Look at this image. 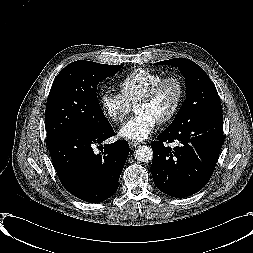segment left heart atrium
<instances>
[{"instance_id": "obj_1", "label": "left heart atrium", "mask_w": 253, "mask_h": 253, "mask_svg": "<svg viewBox=\"0 0 253 253\" xmlns=\"http://www.w3.org/2000/svg\"><path fill=\"white\" fill-rule=\"evenodd\" d=\"M157 123L147 114H137L120 128L118 134L127 140L142 141L153 132Z\"/></svg>"}]
</instances>
